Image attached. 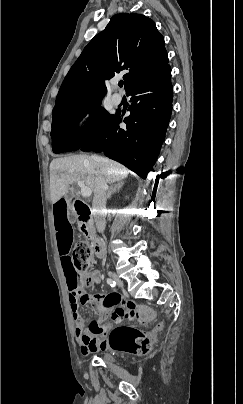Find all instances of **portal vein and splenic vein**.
<instances>
[{"instance_id": "1", "label": "portal vein and splenic vein", "mask_w": 243, "mask_h": 404, "mask_svg": "<svg viewBox=\"0 0 243 404\" xmlns=\"http://www.w3.org/2000/svg\"><path fill=\"white\" fill-rule=\"evenodd\" d=\"M77 184L81 188L82 196H84V198H89V196H91V194H92L91 188H88V186H85V184H83V182H80V180H78Z\"/></svg>"}]
</instances>
